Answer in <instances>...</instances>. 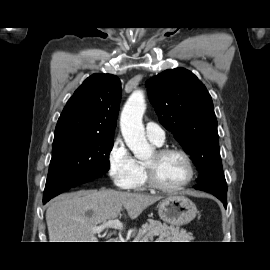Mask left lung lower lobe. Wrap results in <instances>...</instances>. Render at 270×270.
Returning <instances> with one entry per match:
<instances>
[{
    "label": "left lung lower lobe",
    "instance_id": "left-lung-lower-lobe-1",
    "mask_svg": "<svg viewBox=\"0 0 270 270\" xmlns=\"http://www.w3.org/2000/svg\"><path fill=\"white\" fill-rule=\"evenodd\" d=\"M197 190L209 192L222 201L227 208V183L223 173L216 174L194 186Z\"/></svg>",
    "mask_w": 270,
    "mask_h": 270
}]
</instances>
